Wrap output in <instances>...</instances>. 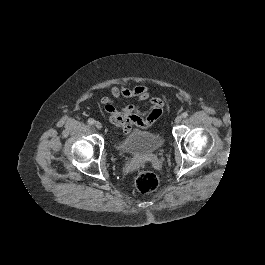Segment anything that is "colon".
<instances>
[{
  "mask_svg": "<svg viewBox=\"0 0 265 265\" xmlns=\"http://www.w3.org/2000/svg\"><path fill=\"white\" fill-rule=\"evenodd\" d=\"M158 184V177L151 171H140L135 177V187L141 193L154 191L158 187Z\"/></svg>",
  "mask_w": 265,
  "mask_h": 265,
  "instance_id": "1",
  "label": "colon"
}]
</instances>
